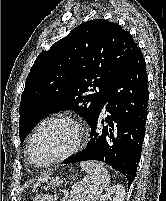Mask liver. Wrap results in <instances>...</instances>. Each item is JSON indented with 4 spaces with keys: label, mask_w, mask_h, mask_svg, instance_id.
<instances>
[{
    "label": "liver",
    "mask_w": 166,
    "mask_h": 201,
    "mask_svg": "<svg viewBox=\"0 0 166 201\" xmlns=\"http://www.w3.org/2000/svg\"><path fill=\"white\" fill-rule=\"evenodd\" d=\"M48 177H49V175H46V176H45L41 181H45V180H47Z\"/></svg>",
    "instance_id": "1"
}]
</instances>
